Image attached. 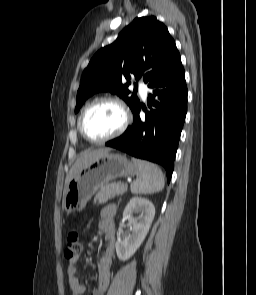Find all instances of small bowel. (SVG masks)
Instances as JSON below:
<instances>
[{
    "instance_id": "1",
    "label": "small bowel",
    "mask_w": 256,
    "mask_h": 295,
    "mask_svg": "<svg viewBox=\"0 0 256 295\" xmlns=\"http://www.w3.org/2000/svg\"><path fill=\"white\" fill-rule=\"evenodd\" d=\"M116 210L113 206H107L101 211L100 230L106 236V247L98 264V284L92 295H104L112 279V256L115 246L114 216ZM78 256L71 259L67 267L68 284L71 295H83L86 291L85 285L77 277Z\"/></svg>"
}]
</instances>
